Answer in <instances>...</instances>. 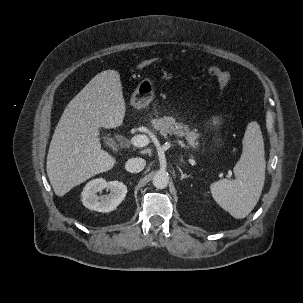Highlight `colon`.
<instances>
[{
  "instance_id": "obj_1",
  "label": "colon",
  "mask_w": 303,
  "mask_h": 303,
  "mask_svg": "<svg viewBox=\"0 0 303 303\" xmlns=\"http://www.w3.org/2000/svg\"><path fill=\"white\" fill-rule=\"evenodd\" d=\"M153 63V59H147L139 63L138 68H147ZM207 72L210 76L214 77L217 80L221 90H225L229 87L231 83V78L227 71L216 66H209L207 68Z\"/></svg>"
}]
</instances>
